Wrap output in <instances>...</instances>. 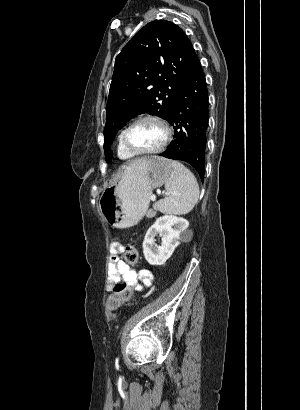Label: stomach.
Segmentation results:
<instances>
[{
  "label": "stomach",
  "instance_id": "0dacf381",
  "mask_svg": "<svg viewBox=\"0 0 300 410\" xmlns=\"http://www.w3.org/2000/svg\"><path fill=\"white\" fill-rule=\"evenodd\" d=\"M172 171L171 161L157 156L147 159L144 165L126 167L120 181L106 188L100 197L102 216L115 228L136 225L146 214L153 189L162 186Z\"/></svg>",
  "mask_w": 300,
  "mask_h": 410
}]
</instances>
